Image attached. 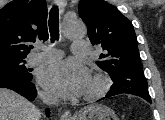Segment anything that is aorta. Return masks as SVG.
Wrapping results in <instances>:
<instances>
[{"label":"aorta","mask_w":165,"mask_h":120,"mask_svg":"<svg viewBox=\"0 0 165 120\" xmlns=\"http://www.w3.org/2000/svg\"><path fill=\"white\" fill-rule=\"evenodd\" d=\"M62 32L66 38H81L86 33L84 23L78 18L66 19L62 25Z\"/></svg>","instance_id":"aorta-1"}]
</instances>
